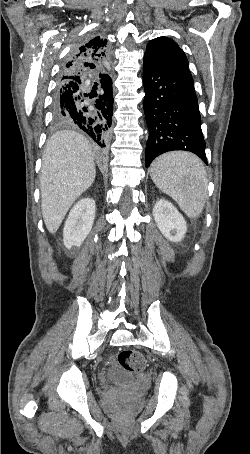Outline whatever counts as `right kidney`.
Listing matches in <instances>:
<instances>
[{
	"mask_svg": "<svg viewBox=\"0 0 250 454\" xmlns=\"http://www.w3.org/2000/svg\"><path fill=\"white\" fill-rule=\"evenodd\" d=\"M94 218L95 201L92 198H83L72 207L63 230L66 248L81 246L92 229Z\"/></svg>",
	"mask_w": 250,
	"mask_h": 454,
	"instance_id": "obj_1",
	"label": "right kidney"
}]
</instances>
